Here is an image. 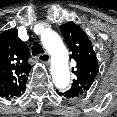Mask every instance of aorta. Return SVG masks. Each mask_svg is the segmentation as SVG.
<instances>
[{"mask_svg":"<svg viewBox=\"0 0 117 117\" xmlns=\"http://www.w3.org/2000/svg\"><path fill=\"white\" fill-rule=\"evenodd\" d=\"M41 43L51 55V75L58 89H65L70 82L69 54L60 36L51 29L41 34Z\"/></svg>","mask_w":117,"mask_h":117,"instance_id":"762f6f07","label":"aorta"}]
</instances>
